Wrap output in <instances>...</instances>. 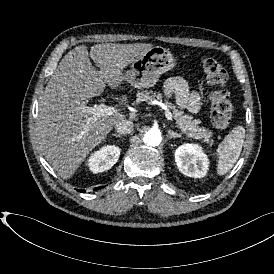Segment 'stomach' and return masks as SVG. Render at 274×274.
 I'll list each match as a JSON object with an SVG mask.
<instances>
[{
  "mask_svg": "<svg viewBox=\"0 0 274 274\" xmlns=\"http://www.w3.org/2000/svg\"><path fill=\"white\" fill-rule=\"evenodd\" d=\"M177 68L175 55L167 48L155 46L148 50L144 57L132 63L125 77L135 88H151L156 85L162 74Z\"/></svg>",
  "mask_w": 274,
  "mask_h": 274,
  "instance_id": "obj_1",
  "label": "stomach"
}]
</instances>
